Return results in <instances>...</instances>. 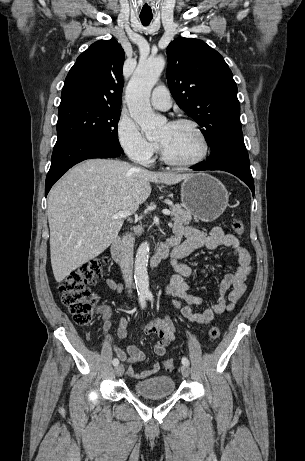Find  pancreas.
<instances>
[{"instance_id": "pancreas-1", "label": "pancreas", "mask_w": 305, "mask_h": 461, "mask_svg": "<svg viewBox=\"0 0 305 461\" xmlns=\"http://www.w3.org/2000/svg\"><path fill=\"white\" fill-rule=\"evenodd\" d=\"M170 210H171L172 215L174 216L173 221L176 224L188 225L190 221L192 220V214L182 209L181 205L179 204H171ZM195 222H198V220L195 219ZM135 231L136 233L141 234L143 232V229L141 226H138L135 228Z\"/></svg>"}]
</instances>
